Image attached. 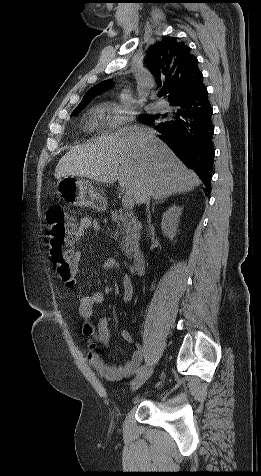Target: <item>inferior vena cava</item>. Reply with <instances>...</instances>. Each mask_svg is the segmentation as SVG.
Segmentation results:
<instances>
[{"mask_svg":"<svg viewBox=\"0 0 261 476\" xmlns=\"http://www.w3.org/2000/svg\"><path fill=\"white\" fill-rule=\"evenodd\" d=\"M149 202H150V198H147L146 199V205H147V210L149 211ZM148 218H150V214L148 215Z\"/></svg>","mask_w":261,"mask_h":476,"instance_id":"inferior-vena-cava-1","label":"inferior vena cava"}]
</instances>
